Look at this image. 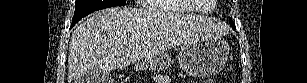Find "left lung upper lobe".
Instances as JSON below:
<instances>
[{
    "label": "left lung upper lobe",
    "instance_id": "obj_1",
    "mask_svg": "<svg viewBox=\"0 0 307 83\" xmlns=\"http://www.w3.org/2000/svg\"><path fill=\"white\" fill-rule=\"evenodd\" d=\"M230 25H231L233 28H235V25H234L232 19H230Z\"/></svg>",
    "mask_w": 307,
    "mask_h": 83
}]
</instances>
